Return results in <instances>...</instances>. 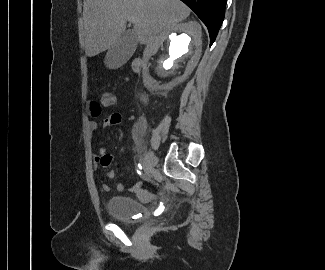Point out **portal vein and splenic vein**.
Wrapping results in <instances>:
<instances>
[{"label":"portal vein and splenic vein","mask_w":325,"mask_h":270,"mask_svg":"<svg viewBox=\"0 0 325 270\" xmlns=\"http://www.w3.org/2000/svg\"><path fill=\"white\" fill-rule=\"evenodd\" d=\"M127 20L132 22V23H137L138 19L136 17H127Z\"/></svg>","instance_id":"18ae733b"}]
</instances>
